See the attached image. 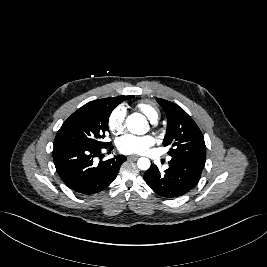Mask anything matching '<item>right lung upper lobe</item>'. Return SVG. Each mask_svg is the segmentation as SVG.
<instances>
[{"mask_svg":"<svg viewBox=\"0 0 267 267\" xmlns=\"http://www.w3.org/2000/svg\"><path fill=\"white\" fill-rule=\"evenodd\" d=\"M124 100H127V96H118V97H114V98H104V99L91 101L87 104L97 103V102H101V101H109V102H114V103L120 104Z\"/></svg>","mask_w":267,"mask_h":267,"instance_id":"1","label":"right lung upper lobe"}]
</instances>
